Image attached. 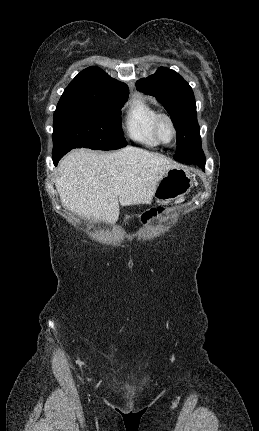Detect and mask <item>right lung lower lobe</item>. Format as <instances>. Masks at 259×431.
Here are the masks:
<instances>
[{
	"mask_svg": "<svg viewBox=\"0 0 259 431\" xmlns=\"http://www.w3.org/2000/svg\"><path fill=\"white\" fill-rule=\"evenodd\" d=\"M69 151H70L69 149L53 151L52 159H53L54 165H57L58 161Z\"/></svg>",
	"mask_w": 259,
	"mask_h": 431,
	"instance_id": "obj_1",
	"label": "right lung lower lobe"
}]
</instances>
